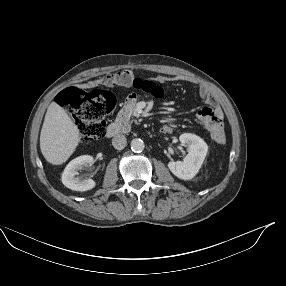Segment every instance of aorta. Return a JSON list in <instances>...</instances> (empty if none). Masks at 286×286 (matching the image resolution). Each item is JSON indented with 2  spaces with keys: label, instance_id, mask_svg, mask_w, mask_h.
I'll return each mask as SVG.
<instances>
[{
  "label": "aorta",
  "instance_id": "aorta-1",
  "mask_svg": "<svg viewBox=\"0 0 286 286\" xmlns=\"http://www.w3.org/2000/svg\"><path fill=\"white\" fill-rule=\"evenodd\" d=\"M144 142L141 139L135 138L131 141V149L134 152H142L144 150Z\"/></svg>",
  "mask_w": 286,
  "mask_h": 286
}]
</instances>
